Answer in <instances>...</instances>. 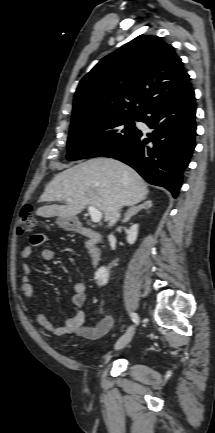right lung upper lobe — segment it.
<instances>
[{
  "mask_svg": "<svg viewBox=\"0 0 215 433\" xmlns=\"http://www.w3.org/2000/svg\"><path fill=\"white\" fill-rule=\"evenodd\" d=\"M189 81L171 45L140 35L103 58L81 80L71 125L142 116L154 102Z\"/></svg>",
  "mask_w": 215,
  "mask_h": 433,
  "instance_id": "1",
  "label": "right lung upper lobe"
}]
</instances>
